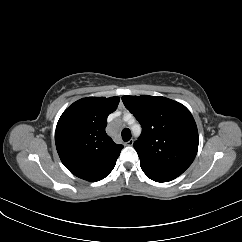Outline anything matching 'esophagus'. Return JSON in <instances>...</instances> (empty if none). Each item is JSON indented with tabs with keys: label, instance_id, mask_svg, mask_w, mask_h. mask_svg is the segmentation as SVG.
<instances>
[{
	"label": "esophagus",
	"instance_id": "obj_1",
	"mask_svg": "<svg viewBox=\"0 0 242 242\" xmlns=\"http://www.w3.org/2000/svg\"><path fill=\"white\" fill-rule=\"evenodd\" d=\"M133 143H134L133 139H130L129 141H127V142L125 143V145H126V146H132Z\"/></svg>",
	"mask_w": 242,
	"mask_h": 242
}]
</instances>
